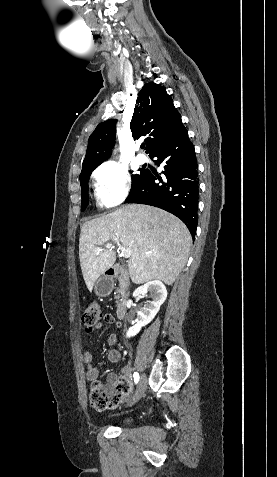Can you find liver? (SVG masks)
<instances>
[{
    "label": "liver",
    "mask_w": 277,
    "mask_h": 477,
    "mask_svg": "<svg viewBox=\"0 0 277 477\" xmlns=\"http://www.w3.org/2000/svg\"><path fill=\"white\" fill-rule=\"evenodd\" d=\"M110 240L132 250L128 271L133 283L160 280L167 285H172L184 268L192 242L179 218L152 206L130 204L87 221L81 228L79 259L90 292L115 262V251H96Z\"/></svg>",
    "instance_id": "liver-1"
}]
</instances>
